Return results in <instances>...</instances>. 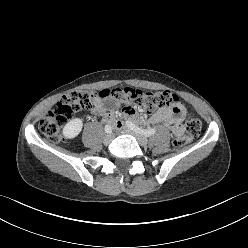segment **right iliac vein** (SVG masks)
<instances>
[{"label": "right iliac vein", "mask_w": 248, "mask_h": 248, "mask_svg": "<svg viewBox=\"0 0 248 248\" xmlns=\"http://www.w3.org/2000/svg\"><path fill=\"white\" fill-rule=\"evenodd\" d=\"M114 138V135L113 134H107L105 137H104V140L103 142L105 144H109Z\"/></svg>", "instance_id": "1"}]
</instances>
